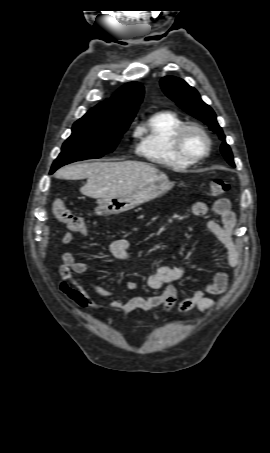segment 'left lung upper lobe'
Instances as JSON below:
<instances>
[{"instance_id":"5c2ea615","label":"left lung upper lobe","mask_w":270,"mask_h":453,"mask_svg":"<svg viewBox=\"0 0 270 453\" xmlns=\"http://www.w3.org/2000/svg\"><path fill=\"white\" fill-rule=\"evenodd\" d=\"M160 85L164 93L184 111L203 121L211 127L212 131L218 133L220 139L224 141L221 146L222 154L230 165L235 166L231 149L225 142V136L217 123L214 111L202 101L196 89L189 86L184 80L172 76L162 78Z\"/></svg>"}]
</instances>
